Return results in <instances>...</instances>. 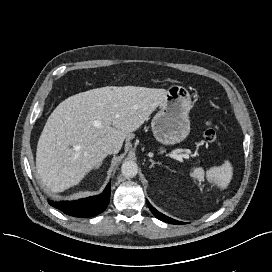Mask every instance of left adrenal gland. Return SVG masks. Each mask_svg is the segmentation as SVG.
<instances>
[{
	"instance_id": "1",
	"label": "left adrenal gland",
	"mask_w": 272,
	"mask_h": 272,
	"mask_svg": "<svg viewBox=\"0 0 272 272\" xmlns=\"http://www.w3.org/2000/svg\"><path fill=\"white\" fill-rule=\"evenodd\" d=\"M149 161L151 162L150 168H152L155 164L161 165V162H155L152 159H149Z\"/></svg>"
}]
</instances>
